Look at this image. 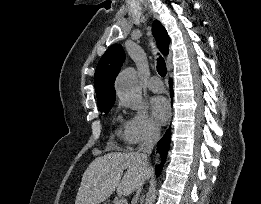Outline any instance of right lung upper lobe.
<instances>
[{
    "mask_svg": "<svg viewBox=\"0 0 261 204\" xmlns=\"http://www.w3.org/2000/svg\"><path fill=\"white\" fill-rule=\"evenodd\" d=\"M152 32L158 44V48L163 55H167L169 52L170 38L166 29L158 20L153 22ZM124 60L125 54L120 44L109 47L100 59L94 77L98 105L115 102L114 82Z\"/></svg>",
    "mask_w": 261,
    "mask_h": 204,
    "instance_id": "right-lung-upper-lobe-1",
    "label": "right lung upper lobe"
}]
</instances>
